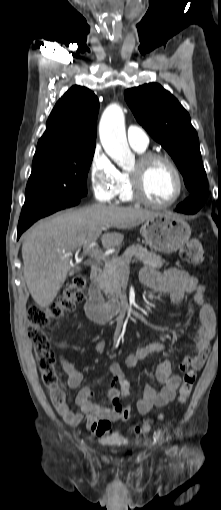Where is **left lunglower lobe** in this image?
Segmentation results:
<instances>
[{
  "label": "left lung lower lobe",
  "mask_w": 221,
  "mask_h": 510,
  "mask_svg": "<svg viewBox=\"0 0 221 510\" xmlns=\"http://www.w3.org/2000/svg\"><path fill=\"white\" fill-rule=\"evenodd\" d=\"M199 209H200V207H197L195 202L185 201L177 206L176 211L183 212L186 214H194ZM212 217H213L214 221L218 224V226H220L221 225V215L220 214H218V215L212 214Z\"/></svg>",
  "instance_id": "0a47b994"
}]
</instances>
